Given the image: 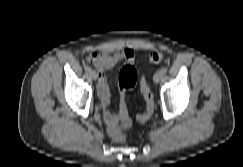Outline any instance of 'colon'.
I'll return each mask as SVG.
<instances>
[{
	"label": "colon",
	"mask_w": 243,
	"mask_h": 167,
	"mask_svg": "<svg viewBox=\"0 0 243 167\" xmlns=\"http://www.w3.org/2000/svg\"><path fill=\"white\" fill-rule=\"evenodd\" d=\"M164 59L165 54L161 51H154L148 57V61L154 64L159 63ZM136 82L137 72L135 68L131 65H125L118 75V85L120 91L124 92L128 89L133 88ZM140 89L142 96L145 100L146 110L138 116V120L140 122H146L152 116L155 109L154 96L145 79L141 81ZM130 125L131 119L127 115L126 109H122L118 121L112 123L108 127V131L115 141L121 142L124 140L123 130L125 128H128Z\"/></svg>",
	"instance_id": "5ec220e1"
}]
</instances>
